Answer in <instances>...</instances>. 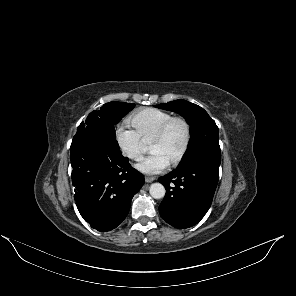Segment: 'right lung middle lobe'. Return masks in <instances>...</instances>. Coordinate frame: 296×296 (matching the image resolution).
<instances>
[{"instance_id":"1","label":"right lung middle lobe","mask_w":296,"mask_h":296,"mask_svg":"<svg viewBox=\"0 0 296 296\" xmlns=\"http://www.w3.org/2000/svg\"><path fill=\"white\" fill-rule=\"evenodd\" d=\"M135 104L122 102H109L104 104L99 111H92L85 122H82L78 127V132L91 130L101 134L112 142L116 141L114 125L117 124L122 117Z\"/></svg>"}]
</instances>
